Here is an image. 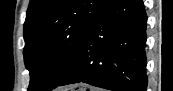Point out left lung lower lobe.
Segmentation results:
<instances>
[{
  "mask_svg": "<svg viewBox=\"0 0 173 91\" xmlns=\"http://www.w3.org/2000/svg\"><path fill=\"white\" fill-rule=\"evenodd\" d=\"M146 27L142 0H111L58 86L84 82L113 91H146Z\"/></svg>",
  "mask_w": 173,
  "mask_h": 91,
  "instance_id": "0a47b994",
  "label": "left lung lower lobe"
}]
</instances>
